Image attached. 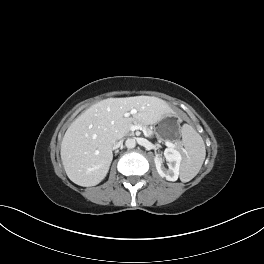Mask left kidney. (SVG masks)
Segmentation results:
<instances>
[{
  "mask_svg": "<svg viewBox=\"0 0 264 264\" xmlns=\"http://www.w3.org/2000/svg\"><path fill=\"white\" fill-rule=\"evenodd\" d=\"M164 156L168 162V169L162 167V160L158 155H156L154 162L157 172L161 177L166 178L168 181H176L180 173V165L182 160L181 153L176 149L166 148L164 151Z\"/></svg>",
  "mask_w": 264,
  "mask_h": 264,
  "instance_id": "obj_1",
  "label": "left kidney"
}]
</instances>
